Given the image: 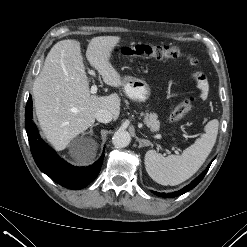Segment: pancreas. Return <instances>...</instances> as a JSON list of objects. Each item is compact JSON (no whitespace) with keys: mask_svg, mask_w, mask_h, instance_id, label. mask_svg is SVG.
Returning a JSON list of instances; mask_svg holds the SVG:
<instances>
[{"mask_svg":"<svg viewBox=\"0 0 247 247\" xmlns=\"http://www.w3.org/2000/svg\"><path fill=\"white\" fill-rule=\"evenodd\" d=\"M145 123L153 131L158 130L160 127V122L156 113H146Z\"/></svg>","mask_w":247,"mask_h":247,"instance_id":"pancreas-1","label":"pancreas"}]
</instances>
